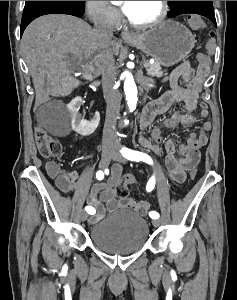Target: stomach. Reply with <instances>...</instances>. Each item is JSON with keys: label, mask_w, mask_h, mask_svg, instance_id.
Instances as JSON below:
<instances>
[{"label": "stomach", "mask_w": 237, "mask_h": 300, "mask_svg": "<svg viewBox=\"0 0 237 300\" xmlns=\"http://www.w3.org/2000/svg\"><path fill=\"white\" fill-rule=\"evenodd\" d=\"M134 35L130 45L150 55L164 67H172L185 59L196 43L191 31L177 21H162Z\"/></svg>", "instance_id": "0dacf381"}]
</instances>
